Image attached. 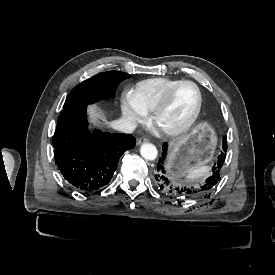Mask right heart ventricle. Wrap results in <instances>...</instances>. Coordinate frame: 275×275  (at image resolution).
<instances>
[{
    "label": "right heart ventricle",
    "mask_w": 275,
    "mask_h": 275,
    "mask_svg": "<svg viewBox=\"0 0 275 275\" xmlns=\"http://www.w3.org/2000/svg\"><path fill=\"white\" fill-rule=\"evenodd\" d=\"M177 81L166 77L142 81L137 84L132 92L134 99L146 112H152L160 103L169 87Z\"/></svg>",
    "instance_id": "e07e8e85"
}]
</instances>
